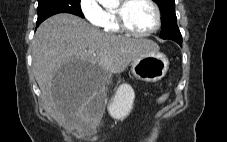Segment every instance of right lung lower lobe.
Wrapping results in <instances>:
<instances>
[{
  "mask_svg": "<svg viewBox=\"0 0 227 142\" xmlns=\"http://www.w3.org/2000/svg\"><path fill=\"white\" fill-rule=\"evenodd\" d=\"M40 23H41V22H37V23H36V27H37Z\"/></svg>",
  "mask_w": 227,
  "mask_h": 142,
  "instance_id": "1",
  "label": "right lung lower lobe"
}]
</instances>
